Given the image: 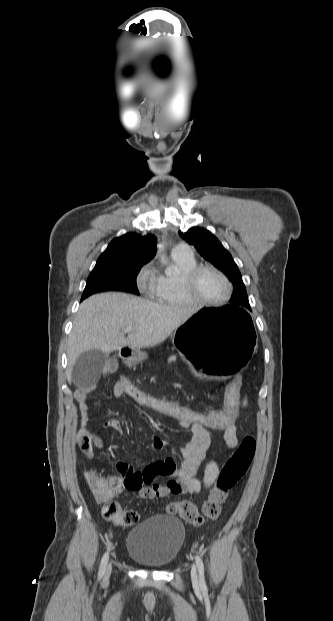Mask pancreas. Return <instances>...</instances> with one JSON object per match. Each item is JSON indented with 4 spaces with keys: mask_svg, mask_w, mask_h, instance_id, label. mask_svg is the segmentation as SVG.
<instances>
[{
    "mask_svg": "<svg viewBox=\"0 0 333 621\" xmlns=\"http://www.w3.org/2000/svg\"><path fill=\"white\" fill-rule=\"evenodd\" d=\"M175 359H176V356H175V355H172V356H170V357H169L168 361H169V362H172V361H174Z\"/></svg>",
    "mask_w": 333,
    "mask_h": 621,
    "instance_id": "pancreas-1",
    "label": "pancreas"
}]
</instances>
